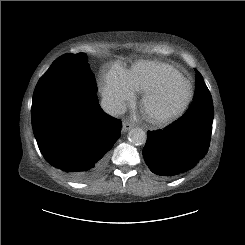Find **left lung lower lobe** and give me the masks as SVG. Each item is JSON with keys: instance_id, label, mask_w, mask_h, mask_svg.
Masks as SVG:
<instances>
[{"instance_id": "0a47b994", "label": "left lung lower lobe", "mask_w": 245, "mask_h": 245, "mask_svg": "<svg viewBox=\"0 0 245 245\" xmlns=\"http://www.w3.org/2000/svg\"><path fill=\"white\" fill-rule=\"evenodd\" d=\"M202 79L196 83L198 110L185 114L163 130L148 131L143 156L150 170L164 178L177 177L206 155L212 133L214 107ZM202 99V100H200Z\"/></svg>"}]
</instances>
